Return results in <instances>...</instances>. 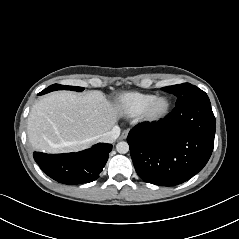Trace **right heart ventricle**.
I'll list each match as a JSON object with an SVG mask.
<instances>
[{"instance_id":"e07e8e85","label":"right heart ventricle","mask_w":239,"mask_h":239,"mask_svg":"<svg viewBox=\"0 0 239 239\" xmlns=\"http://www.w3.org/2000/svg\"><path fill=\"white\" fill-rule=\"evenodd\" d=\"M154 97L153 94L142 92H126L120 95L117 99L119 109L129 115H139L144 106Z\"/></svg>"}]
</instances>
